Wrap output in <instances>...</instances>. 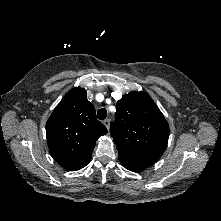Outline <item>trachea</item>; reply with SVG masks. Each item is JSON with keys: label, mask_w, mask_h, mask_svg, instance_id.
<instances>
[{"label": "trachea", "mask_w": 221, "mask_h": 221, "mask_svg": "<svg viewBox=\"0 0 221 221\" xmlns=\"http://www.w3.org/2000/svg\"><path fill=\"white\" fill-rule=\"evenodd\" d=\"M107 116V110L105 108H101L97 112V118L99 120H104Z\"/></svg>", "instance_id": "obj_1"}]
</instances>
